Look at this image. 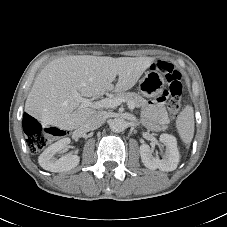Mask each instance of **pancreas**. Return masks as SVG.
Segmentation results:
<instances>
[{"label": "pancreas", "instance_id": "obj_1", "mask_svg": "<svg viewBox=\"0 0 227 227\" xmlns=\"http://www.w3.org/2000/svg\"><path fill=\"white\" fill-rule=\"evenodd\" d=\"M116 97L123 99L124 102H127V103L133 102L135 107L137 108H140V107L142 108L146 104V100L134 92H119L116 94ZM140 122L144 127L153 131H160V130L167 129V126H164V125L160 126V125L150 123L143 117H141Z\"/></svg>", "mask_w": 227, "mask_h": 227}]
</instances>
